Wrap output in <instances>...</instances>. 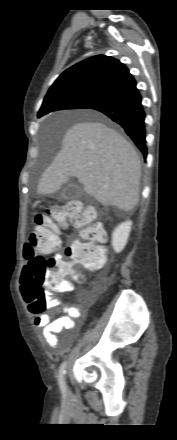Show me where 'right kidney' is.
<instances>
[{
    "instance_id": "1",
    "label": "right kidney",
    "mask_w": 177,
    "mask_h": 440,
    "mask_svg": "<svg viewBox=\"0 0 177 440\" xmlns=\"http://www.w3.org/2000/svg\"><path fill=\"white\" fill-rule=\"evenodd\" d=\"M132 222L126 221L119 224L112 233V246L116 253H120L129 238L131 232Z\"/></svg>"
}]
</instances>
